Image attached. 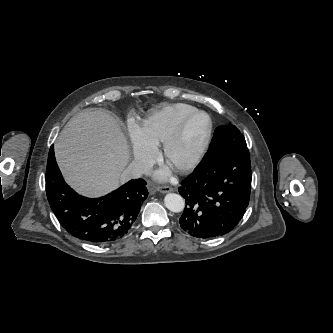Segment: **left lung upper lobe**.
<instances>
[{
    "instance_id": "left-lung-upper-lobe-1",
    "label": "left lung upper lobe",
    "mask_w": 333,
    "mask_h": 333,
    "mask_svg": "<svg viewBox=\"0 0 333 333\" xmlns=\"http://www.w3.org/2000/svg\"><path fill=\"white\" fill-rule=\"evenodd\" d=\"M247 147L245 138L242 134L233 135L225 139L216 150L212 151L214 154H220L222 156L232 155L238 148Z\"/></svg>"
}]
</instances>
